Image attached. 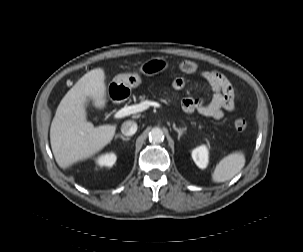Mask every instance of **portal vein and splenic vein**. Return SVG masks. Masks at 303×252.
<instances>
[{
  "label": "portal vein and splenic vein",
  "mask_w": 303,
  "mask_h": 252,
  "mask_svg": "<svg viewBox=\"0 0 303 252\" xmlns=\"http://www.w3.org/2000/svg\"><path fill=\"white\" fill-rule=\"evenodd\" d=\"M150 106L160 107L161 105L157 102L146 100L140 104H136V105H132V106H128V107H124V108L120 109L113 115V118L120 119L125 116H129L131 114L142 112V111L147 110Z\"/></svg>",
  "instance_id": "1"
}]
</instances>
